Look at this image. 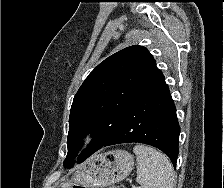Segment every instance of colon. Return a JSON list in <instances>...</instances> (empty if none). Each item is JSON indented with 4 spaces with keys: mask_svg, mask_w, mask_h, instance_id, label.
Returning <instances> with one entry per match:
<instances>
[{
    "mask_svg": "<svg viewBox=\"0 0 224 188\" xmlns=\"http://www.w3.org/2000/svg\"><path fill=\"white\" fill-rule=\"evenodd\" d=\"M73 188H84V187L75 185ZM110 188H126V187L121 186V185H116V186H112V187H110Z\"/></svg>",
    "mask_w": 224,
    "mask_h": 188,
    "instance_id": "colon-1",
    "label": "colon"
}]
</instances>
